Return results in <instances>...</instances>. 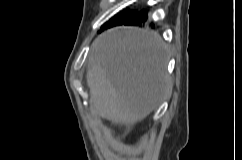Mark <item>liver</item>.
I'll return each instance as SVG.
<instances>
[{
  "label": "liver",
  "mask_w": 242,
  "mask_h": 160,
  "mask_svg": "<svg viewBox=\"0 0 242 160\" xmlns=\"http://www.w3.org/2000/svg\"><path fill=\"white\" fill-rule=\"evenodd\" d=\"M167 48L159 36L115 27L91 46L86 79L90 102L104 118L134 124L155 110L170 89Z\"/></svg>",
  "instance_id": "6515ba94"
}]
</instances>
